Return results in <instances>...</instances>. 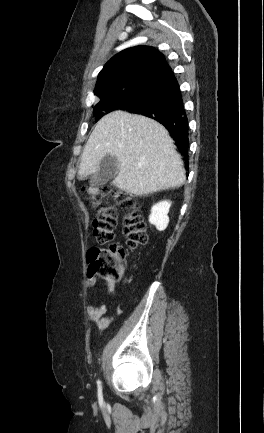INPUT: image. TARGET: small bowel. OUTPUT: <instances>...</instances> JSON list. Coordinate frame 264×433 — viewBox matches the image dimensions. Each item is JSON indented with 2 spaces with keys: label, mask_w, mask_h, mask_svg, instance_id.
Returning a JSON list of instances; mask_svg holds the SVG:
<instances>
[{
  "label": "small bowel",
  "mask_w": 264,
  "mask_h": 433,
  "mask_svg": "<svg viewBox=\"0 0 264 433\" xmlns=\"http://www.w3.org/2000/svg\"><path fill=\"white\" fill-rule=\"evenodd\" d=\"M87 286L93 288L96 286V280L92 276L87 278ZM89 319L94 322L100 330H105L109 327L115 316L122 313L121 304H118L115 311L109 315L106 305H91L87 309Z\"/></svg>",
  "instance_id": "c3829d8e"
}]
</instances>
